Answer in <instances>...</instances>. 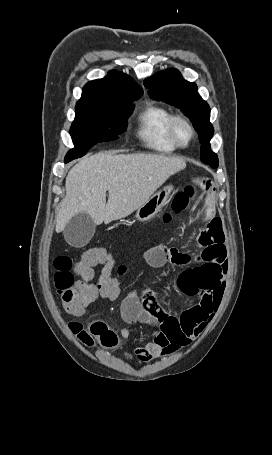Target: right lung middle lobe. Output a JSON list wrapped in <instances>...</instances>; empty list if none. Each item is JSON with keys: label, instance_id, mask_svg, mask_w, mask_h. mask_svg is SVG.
I'll return each mask as SVG.
<instances>
[{"label": "right lung middle lobe", "instance_id": "right-lung-middle-lobe-1", "mask_svg": "<svg viewBox=\"0 0 272 455\" xmlns=\"http://www.w3.org/2000/svg\"><path fill=\"white\" fill-rule=\"evenodd\" d=\"M133 108L132 102L112 109L75 108V120L70 129L75 148L68 152L65 162L82 157L98 142L117 139L126 131Z\"/></svg>", "mask_w": 272, "mask_h": 455}]
</instances>
